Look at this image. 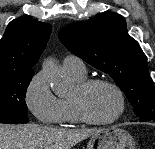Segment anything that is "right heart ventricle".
Wrapping results in <instances>:
<instances>
[{
  "label": "right heart ventricle",
  "instance_id": "obj_1",
  "mask_svg": "<svg viewBox=\"0 0 155 149\" xmlns=\"http://www.w3.org/2000/svg\"><path fill=\"white\" fill-rule=\"evenodd\" d=\"M76 82L80 83L86 79V75L84 76H78L74 74H69ZM63 105V119L62 122L68 123V124H74L78 122L77 115L74 111V108L71 104L70 99L62 100Z\"/></svg>",
  "mask_w": 155,
  "mask_h": 149
}]
</instances>
